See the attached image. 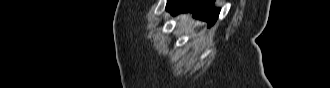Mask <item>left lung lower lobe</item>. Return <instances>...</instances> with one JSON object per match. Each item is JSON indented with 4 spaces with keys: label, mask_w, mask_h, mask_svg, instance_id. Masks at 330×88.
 I'll use <instances>...</instances> for the list:
<instances>
[{
    "label": "left lung lower lobe",
    "mask_w": 330,
    "mask_h": 88,
    "mask_svg": "<svg viewBox=\"0 0 330 88\" xmlns=\"http://www.w3.org/2000/svg\"><path fill=\"white\" fill-rule=\"evenodd\" d=\"M215 0H167L166 10L172 14L181 12H193L198 17L212 26L218 19L219 8L213 6Z\"/></svg>",
    "instance_id": "left-lung-lower-lobe-1"
}]
</instances>
